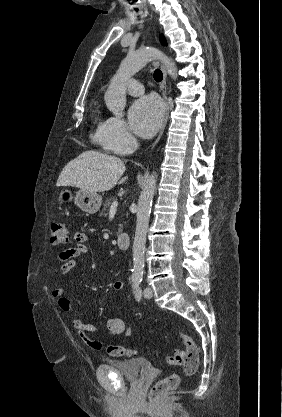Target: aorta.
Returning <instances> with one entry per match:
<instances>
[{"label":"aorta","mask_w":282,"mask_h":417,"mask_svg":"<svg viewBox=\"0 0 282 417\" xmlns=\"http://www.w3.org/2000/svg\"><path fill=\"white\" fill-rule=\"evenodd\" d=\"M153 58H159V60L163 62L168 74H170L172 78H177V66L170 56H166V54L160 52L158 48H153V46H150V48H138L134 54H129V56H126V58L120 62V66L116 74L112 76L110 84L104 94L107 108H109L117 118H122V116H124L123 110L126 104L127 78H130L132 74L138 72L140 68H143V66H145L149 60H153ZM156 178L157 174H155V172L150 174L146 186L143 188L138 200L135 237L132 247L133 279H142L144 275L145 245L151 206L157 182Z\"/></svg>","instance_id":"aorta-1"}]
</instances>
